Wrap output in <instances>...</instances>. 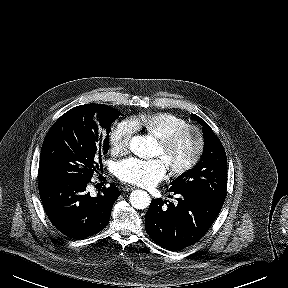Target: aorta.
Masks as SVG:
<instances>
[{"label": "aorta", "mask_w": 288, "mask_h": 288, "mask_svg": "<svg viewBox=\"0 0 288 288\" xmlns=\"http://www.w3.org/2000/svg\"><path fill=\"white\" fill-rule=\"evenodd\" d=\"M157 148L156 140L151 136H135L130 141V150L141 158L153 156ZM130 204L136 209H145L150 205L151 198L146 191L134 190L131 192Z\"/></svg>", "instance_id": "obj_1"}]
</instances>
